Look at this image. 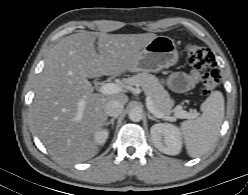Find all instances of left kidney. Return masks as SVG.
<instances>
[{
  "label": "left kidney",
  "mask_w": 248,
  "mask_h": 195,
  "mask_svg": "<svg viewBox=\"0 0 248 195\" xmlns=\"http://www.w3.org/2000/svg\"><path fill=\"white\" fill-rule=\"evenodd\" d=\"M151 136L156 148L167 155H177L182 149L181 133L173 124L159 123L151 127Z\"/></svg>",
  "instance_id": "5707ae66"
}]
</instances>
